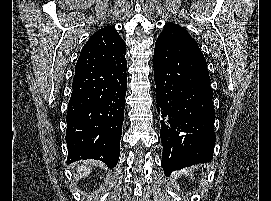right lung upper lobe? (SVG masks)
Returning a JSON list of instances; mask_svg holds the SVG:
<instances>
[{
	"label": "right lung upper lobe",
	"mask_w": 271,
	"mask_h": 201,
	"mask_svg": "<svg viewBox=\"0 0 271 201\" xmlns=\"http://www.w3.org/2000/svg\"><path fill=\"white\" fill-rule=\"evenodd\" d=\"M96 33L111 35L113 38H120L119 34L111 26L102 28V29L98 30Z\"/></svg>",
	"instance_id": "obj_1"
}]
</instances>
